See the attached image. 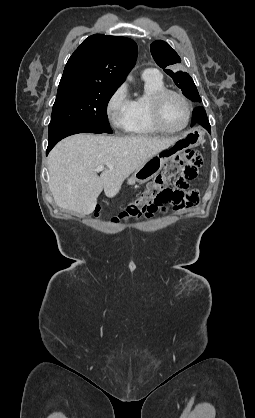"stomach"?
I'll list each match as a JSON object with an SVG mask.
<instances>
[{
  "instance_id": "1",
  "label": "stomach",
  "mask_w": 255,
  "mask_h": 418,
  "mask_svg": "<svg viewBox=\"0 0 255 418\" xmlns=\"http://www.w3.org/2000/svg\"><path fill=\"white\" fill-rule=\"evenodd\" d=\"M204 140V133L198 128L184 132L179 139L169 148L157 153L139 167L132 177L128 179L129 184L135 182L143 184L154 178L163 168L164 164L173 156L198 146Z\"/></svg>"
}]
</instances>
